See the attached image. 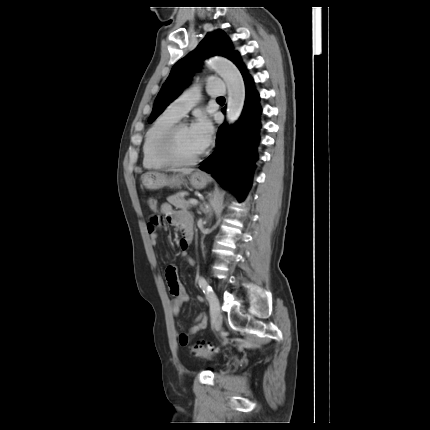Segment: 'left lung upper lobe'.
<instances>
[{
	"label": "left lung upper lobe",
	"mask_w": 430,
	"mask_h": 430,
	"mask_svg": "<svg viewBox=\"0 0 430 430\" xmlns=\"http://www.w3.org/2000/svg\"><path fill=\"white\" fill-rule=\"evenodd\" d=\"M213 55H221L231 60L238 67L241 74L246 71L238 52L233 51L228 36L221 30L209 34L194 51L173 66L169 77L156 97L153 111L148 119L149 123L161 114L166 106L176 99L182 89L187 86L190 77L198 68L202 59Z\"/></svg>",
	"instance_id": "1"
}]
</instances>
